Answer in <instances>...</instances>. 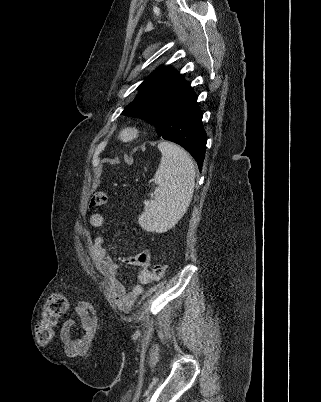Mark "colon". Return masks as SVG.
Returning <instances> with one entry per match:
<instances>
[{
	"mask_svg": "<svg viewBox=\"0 0 321 402\" xmlns=\"http://www.w3.org/2000/svg\"><path fill=\"white\" fill-rule=\"evenodd\" d=\"M107 196L104 192H97L90 198V207H99L106 203ZM166 271V265L163 262L153 264L151 269L152 278L156 281L161 280ZM69 308L68 298L61 293L51 294L42 312V317L36 325V337L40 343H48L52 340L54 325Z\"/></svg>",
	"mask_w": 321,
	"mask_h": 402,
	"instance_id": "obj_1",
	"label": "colon"
}]
</instances>
